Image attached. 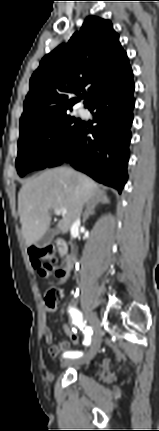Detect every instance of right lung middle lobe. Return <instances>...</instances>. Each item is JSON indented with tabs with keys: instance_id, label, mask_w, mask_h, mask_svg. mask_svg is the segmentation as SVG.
Instances as JSON below:
<instances>
[{
	"instance_id": "right-lung-middle-lobe-1",
	"label": "right lung middle lobe",
	"mask_w": 159,
	"mask_h": 431,
	"mask_svg": "<svg viewBox=\"0 0 159 431\" xmlns=\"http://www.w3.org/2000/svg\"><path fill=\"white\" fill-rule=\"evenodd\" d=\"M81 123L80 119L63 112L21 130L16 159L18 174L22 177L30 171L46 168Z\"/></svg>"
}]
</instances>
